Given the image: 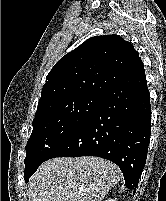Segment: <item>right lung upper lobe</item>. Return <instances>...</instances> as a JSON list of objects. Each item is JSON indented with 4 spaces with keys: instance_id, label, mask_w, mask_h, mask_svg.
Returning a JSON list of instances; mask_svg holds the SVG:
<instances>
[{
    "instance_id": "cb5924a9",
    "label": "right lung upper lobe",
    "mask_w": 166,
    "mask_h": 201,
    "mask_svg": "<svg viewBox=\"0 0 166 201\" xmlns=\"http://www.w3.org/2000/svg\"><path fill=\"white\" fill-rule=\"evenodd\" d=\"M140 61L133 45L118 35L89 38L52 68L42 88L35 116L74 97L103 96Z\"/></svg>"
}]
</instances>
